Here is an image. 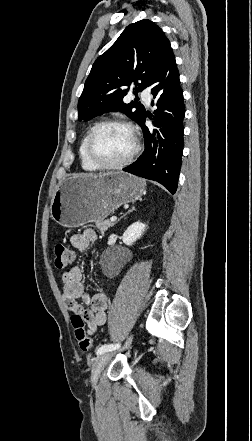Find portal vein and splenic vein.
<instances>
[{
  "label": "portal vein and splenic vein",
  "mask_w": 252,
  "mask_h": 441,
  "mask_svg": "<svg viewBox=\"0 0 252 441\" xmlns=\"http://www.w3.org/2000/svg\"><path fill=\"white\" fill-rule=\"evenodd\" d=\"M117 220V217L116 216H112L111 218H110V221L111 222H115Z\"/></svg>",
  "instance_id": "obj_1"
}]
</instances>
